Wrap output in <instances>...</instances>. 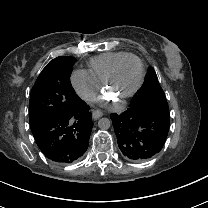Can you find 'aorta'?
<instances>
[{"mask_svg": "<svg viewBox=\"0 0 208 208\" xmlns=\"http://www.w3.org/2000/svg\"><path fill=\"white\" fill-rule=\"evenodd\" d=\"M111 126V121L108 119V118H101L99 121H98V127L100 129H109Z\"/></svg>", "mask_w": 208, "mask_h": 208, "instance_id": "1", "label": "aorta"}]
</instances>
